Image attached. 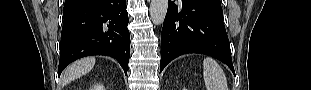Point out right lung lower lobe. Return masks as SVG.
Returning a JSON list of instances; mask_svg holds the SVG:
<instances>
[{
    "label": "right lung lower lobe",
    "instance_id": "obj_1",
    "mask_svg": "<svg viewBox=\"0 0 311 90\" xmlns=\"http://www.w3.org/2000/svg\"><path fill=\"white\" fill-rule=\"evenodd\" d=\"M58 76L89 55L114 57L127 74L130 34L126 0H65Z\"/></svg>",
    "mask_w": 311,
    "mask_h": 90
}]
</instances>
